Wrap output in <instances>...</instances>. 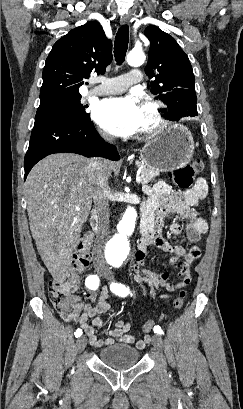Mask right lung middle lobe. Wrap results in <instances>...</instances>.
<instances>
[{"instance_id": "dd1d6c3e", "label": "right lung middle lobe", "mask_w": 243, "mask_h": 409, "mask_svg": "<svg viewBox=\"0 0 243 409\" xmlns=\"http://www.w3.org/2000/svg\"><path fill=\"white\" fill-rule=\"evenodd\" d=\"M85 108L86 106L81 104V95L69 98H52L40 101L36 116L49 115L83 122L90 119Z\"/></svg>"}]
</instances>
